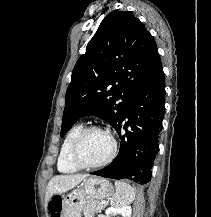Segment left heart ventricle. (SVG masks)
<instances>
[{
  "label": "left heart ventricle",
  "mask_w": 211,
  "mask_h": 217,
  "mask_svg": "<svg viewBox=\"0 0 211 217\" xmlns=\"http://www.w3.org/2000/svg\"><path fill=\"white\" fill-rule=\"evenodd\" d=\"M112 142L109 135L102 131L90 132L82 145L81 156L87 163L104 160L111 152Z\"/></svg>",
  "instance_id": "obj_1"
}]
</instances>
